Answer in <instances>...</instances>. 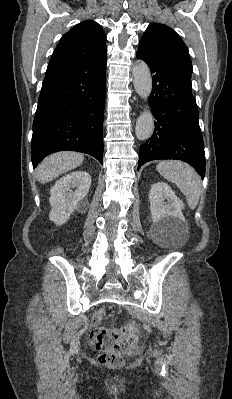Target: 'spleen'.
Masks as SVG:
<instances>
[{"label":"spleen","instance_id":"spleen-1","mask_svg":"<svg viewBox=\"0 0 232 399\" xmlns=\"http://www.w3.org/2000/svg\"><path fill=\"white\" fill-rule=\"evenodd\" d=\"M156 170L163 178L176 184L177 188L186 196L191 209L197 207L201 194V180L194 168H191L185 162L167 160V162H160L156 166Z\"/></svg>","mask_w":232,"mask_h":399}]
</instances>
